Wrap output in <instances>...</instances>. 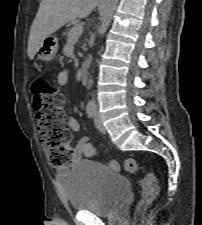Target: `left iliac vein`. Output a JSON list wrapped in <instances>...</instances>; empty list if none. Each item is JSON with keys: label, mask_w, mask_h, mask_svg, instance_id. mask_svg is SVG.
<instances>
[{"label": "left iliac vein", "mask_w": 202, "mask_h": 225, "mask_svg": "<svg viewBox=\"0 0 202 225\" xmlns=\"http://www.w3.org/2000/svg\"><path fill=\"white\" fill-rule=\"evenodd\" d=\"M94 123H95L96 128L100 132H102V133L106 132V128L104 127V125L102 123V120L100 118L99 112L97 111L96 107H95V114H94Z\"/></svg>", "instance_id": "left-iliac-vein-1"}]
</instances>
